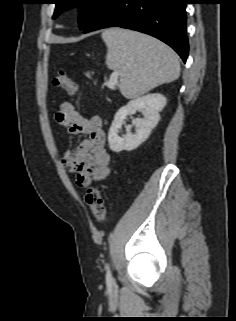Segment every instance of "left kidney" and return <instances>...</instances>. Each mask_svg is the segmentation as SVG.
Listing matches in <instances>:
<instances>
[{
  "label": "left kidney",
  "mask_w": 236,
  "mask_h": 321,
  "mask_svg": "<svg viewBox=\"0 0 236 321\" xmlns=\"http://www.w3.org/2000/svg\"><path fill=\"white\" fill-rule=\"evenodd\" d=\"M165 105V96L159 93H152L133 99L127 105L121 107L117 111L108 133L110 149L114 152L131 151L140 146L158 124L160 120L159 112ZM136 111L142 112L144 118H136L132 121L136 127L135 133H132L131 127L127 126L126 134L123 137H119L118 132L124 120L128 115L135 114Z\"/></svg>",
  "instance_id": "obj_1"
}]
</instances>
